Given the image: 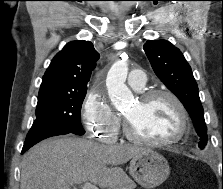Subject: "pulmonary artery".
Here are the masks:
<instances>
[{
  "label": "pulmonary artery",
  "instance_id": "1",
  "mask_svg": "<svg viewBox=\"0 0 223 189\" xmlns=\"http://www.w3.org/2000/svg\"><path fill=\"white\" fill-rule=\"evenodd\" d=\"M127 84L135 90H141L146 84V74L143 70L134 69L130 72Z\"/></svg>",
  "mask_w": 223,
  "mask_h": 189
}]
</instances>
